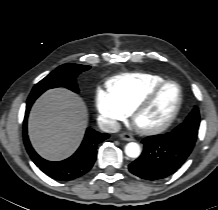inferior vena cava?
Wrapping results in <instances>:
<instances>
[{
    "instance_id": "1",
    "label": "inferior vena cava",
    "mask_w": 218,
    "mask_h": 210,
    "mask_svg": "<svg viewBox=\"0 0 218 210\" xmlns=\"http://www.w3.org/2000/svg\"><path fill=\"white\" fill-rule=\"evenodd\" d=\"M98 125L105 133H116L121 129V126L117 121L105 117L98 118Z\"/></svg>"
}]
</instances>
